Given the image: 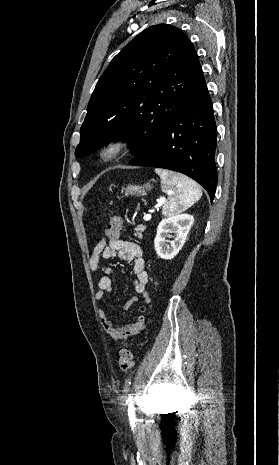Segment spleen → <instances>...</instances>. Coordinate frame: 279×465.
I'll list each match as a JSON object with an SVG mask.
<instances>
[{
	"instance_id": "3e777b00",
	"label": "spleen",
	"mask_w": 279,
	"mask_h": 465,
	"mask_svg": "<svg viewBox=\"0 0 279 465\" xmlns=\"http://www.w3.org/2000/svg\"><path fill=\"white\" fill-rule=\"evenodd\" d=\"M155 172L161 178L162 191L168 195V199L163 203L162 208L164 216L169 217L180 213L201 198L200 187L189 177L164 169H155Z\"/></svg>"
}]
</instances>
